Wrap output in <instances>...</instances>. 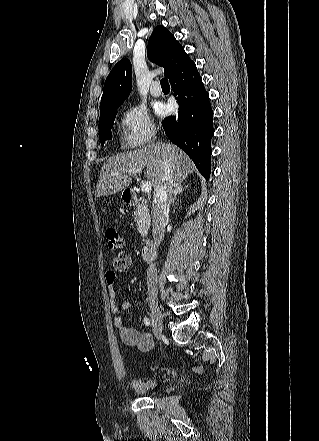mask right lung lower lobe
<instances>
[{
    "label": "right lung lower lobe",
    "instance_id": "right-lung-lower-lobe-1",
    "mask_svg": "<svg viewBox=\"0 0 319 441\" xmlns=\"http://www.w3.org/2000/svg\"><path fill=\"white\" fill-rule=\"evenodd\" d=\"M178 101V115L162 123L170 141L183 149L199 172L209 179L211 139L214 134L213 111L194 62L170 80Z\"/></svg>",
    "mask_w": 319,
    "mask_h": 441
}]
</instances>
